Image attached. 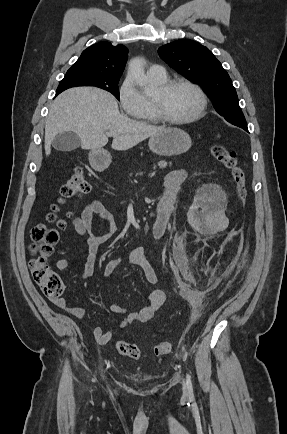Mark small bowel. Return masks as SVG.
I'll return each instance as SVG.
<instances>
[{
	"label": "small bowel",
	"instance_id": "small-bowel-1",
	"mask_svg": "<svg viewBox=\"0 0 287 434\" xmlns=\"http://www.w3.org/2000/svg\"><path fill=\"white\" fill-rule=\"evenodd\" d=\"M187 173L184 169L171 171L165 178V192L156 207V218L153 226V236L156 240H161L167 229L168 222L173 214L178 193L186 179ZM97 216L103 223L104 231L98 235L93 229V217ZM71 225L79 236L83 238L88 247V257L81 274L82 279L90 278L95 271L96 257L99 247L107 242L117 232V224L114 213L107 209L100 200H94L89 203L84 210L72 219ZM128 260L137 266L142 272L145 279L152 284L158 282V275L150 263L145 250L142 247H136L127 254ZM122 257H114L107 261L104 266L103 274L105 277H111L122 261ZM58 271H64L68 267V261L59 259L55 263ZM166 300V293L162 290L151 292L147 298V304L138 313L127 314L120 323L119 328L123 329L136 322H148L153 319L156 311ZM52 301L65 310L68 314L76 318H82L86 315L83 307L69 306L65 298H54ZM109 309L114 314H124L125 309L121 305L111 302ZM96 341L100 344H107L111 341L113 333L104 331L101 327L93 330Z\"/></svg>",
	"mask_w": 287,
	"mask_h": 434
}]
</instances>
